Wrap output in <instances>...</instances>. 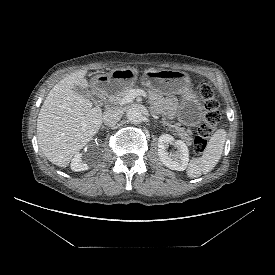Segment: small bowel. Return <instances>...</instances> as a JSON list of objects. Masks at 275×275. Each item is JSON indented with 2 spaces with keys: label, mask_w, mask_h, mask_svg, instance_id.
<instances>
[{
  "label": "small bowel",
  "mask_w": 275,
  "mask_h": 275,
  "mask_svg": "<svg viewBox=\"0 0 275 275\" xmlns=\"http://www.w3.org/2000/svg\"><path fill=\"white\" fill-rule=\"evenodd\" d=\"M153 100L154 101H158L157 97L155 95L152 96ZM164 105L166 107V109L168 110V112L170 114H172L174 111H175V108H176V102L173 98H167L165 101H164Z\"/></svg>",
  "instance_id": "1"
}]
</instances>
